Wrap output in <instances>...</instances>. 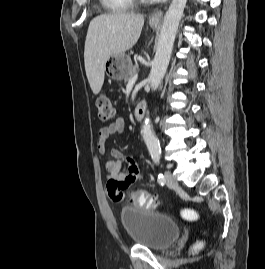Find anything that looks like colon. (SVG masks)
<instances>
[{
    "label": "colon",
    "instance_id": "5ec220e1",
    "mask_svg": "<svg viewBox=\"0 0 265 269\" xmlns=\"http://www.w3.org/2000/svg\"><path fill=\"white\" fill-rule=\"evenodd\" d=\"M96 108L98 112L99 120L103 123H108L115 119L116 109L110 98L106 95H101L96 101ZM130 200L133 204L143 207L150 208L154 204L153 197L144 190L135 189L130 193ZM183 214L188 219L196 218L194 210L187 208L183 211Z\"/></svg>",
    "mask_w": 265,
    "mask_h": 269
}]
</instances>
